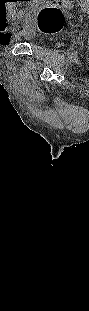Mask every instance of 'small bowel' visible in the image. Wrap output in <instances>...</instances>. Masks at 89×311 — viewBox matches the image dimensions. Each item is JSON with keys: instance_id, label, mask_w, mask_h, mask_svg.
Wrapping results in <instances>:
<instances>
[{"instance_id": "obj_1", "label": "small bowel", "mask_w": 89, "mask_h": 311, "mask_svg": "<svg viewBox=\"0 0 89 311\" xmlns=\"http://www.w3.org/2000/svg\"><path fill=\"white\" fill-rule=\"evenodd\" d=\"M16 40V35L10 32H4L0 35V45L6 46Z\"/></svg>"}]
</instances>
